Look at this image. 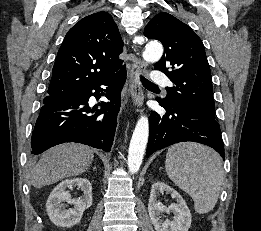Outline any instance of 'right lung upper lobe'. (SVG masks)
<instances>
[{
  "mask_svg": "<svg viewBox=\"0 0 261 231\" xmlns=\"http://www.w3.org/2000/svg\"><path fill=\"white\" fill-rule=\"evenodd\" d=\"M123 42L117 25L107 12L81 19L66 34L58 51L49 96L70 97L125 68L118 55Z\"/></svg>",
  "mask_w": 261,
  "mask_h": 231,
  "instance_id": "right-lung-upper-lobe-1",
  "label": "right lung upper lobe"
}]
</instances>
